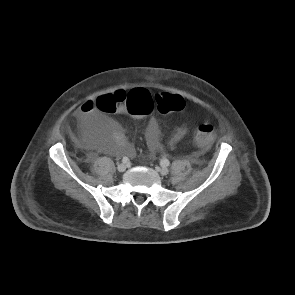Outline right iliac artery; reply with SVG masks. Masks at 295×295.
<instances>
[{
    "instance_id": "right-iliac-artery-1",
    "label": "right iliac artery",
    "mask_w": 295,
    "mask_h": 295,
    "mask_svg": "<svg viewBox=\"0 0 295 295\" xmlns=\"http://www.w3.org/2000/svg\"><path fill=\"white\" fill-rule=\"evenodd\" d=\"M122 162H123V163H128V162H129L128 157H123Z\"/></svg>"
}]
</instances>
